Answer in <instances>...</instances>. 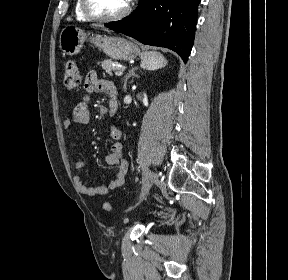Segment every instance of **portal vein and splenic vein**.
I'll return each mask as SVG.
<instances>
[{
  "label": "portal vein and splenic vein",
  "instance_id": "portal-vein-and-splenic-vein-1",
  "mask_svg": "<svg viewBox=\"0 0 288 280\" xmlns=\"http://www.w3.org/2000/svg\"><path fill=\"white\" fill-rule=\"evenodd\" d=\"M123 70H124V69H123V68H121V67H120V68H118V69H117V71L115 72V75H117V76H120V75H122V74H123Z\"/></svg>",
  "mask_w": 288,
  "mask_h": 280
}]
</instances>
